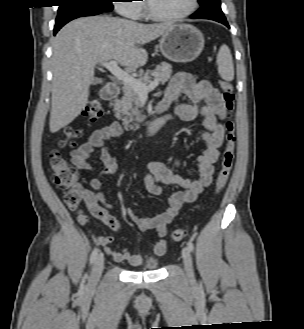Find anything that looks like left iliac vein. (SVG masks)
Returning <instances> with one entry per match:
<instances>
[{"instance_id": "4c4485c4", "label": "left iliac vein", "mask_w": 304, "mask_h": 329, "mask_svg": "<svg viewBox=\"0 0 304 329\" xmlns=\"http://www.w3.org/2000/svg\"><path fill=\"white\" fill-rule=\"evenodd\" d=\"M182 257H183V263H184L186 275L190 281H193L194 271L192 265V258H191L190 250L187 247L183 248Z\"/></svg>"}]
</instances>
